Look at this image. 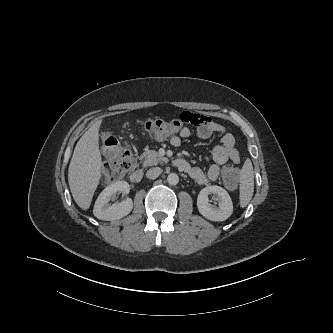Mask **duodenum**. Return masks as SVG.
<instances>
[{
  "instance_id": "duodenum-1",
  "label": "duodenum",
  "mask_w": 333,
  "mask_h": 333,
  "mask_svg": "<svg viewBox=\"0 0 333 333\" xmlns=\"http://www.w3.org/2000/svg\"><path fill=\"white\" fill-rule=\"evenodd\" d=\"M174 163L177 167H179L182 170L189 167L188 162L185 159H182V158L175 159ZM142 178H143V170L142 169H136L130 174V180L133 183L141 182Z\"/></svg>"
}]
</instances>
